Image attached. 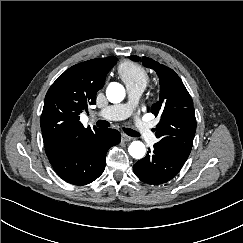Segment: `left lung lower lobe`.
<instances>
[{"mask_svg": "<svg viewBox=\"0 0 243 243\" xmlns=\"http://www.w3.org/2000/svg\"><path fill=\"white\" fill-rule=\"evenodd\" d=\"M187 159L162 146L154 145L134 166L135 175L148 184H163L174 178Z\"/></svg>", "mask_w": 243, "mask_h": 243, "instance_id": "left-lung-lower-lobe-1", "label": "left lung lower lobe"}]
</instances>
